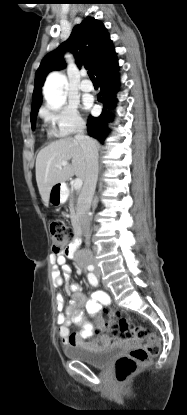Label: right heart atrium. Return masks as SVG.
<instances>
[{
    "label": "right heart atrium",
    "mask_w": 187,
    "mask_h": 415,
    "mask_svg": "<svg viewBox=\"0 0 187 415\" xmlns=\"http://www.w3.org/2000/svg\"><path fill=\"white\" fill-rule=\"evenodd\" d=\"M41 117L49 125L51 131L60 137H66L84 129L85 123L76 107L65 104L59 109L44 107Z\"/></svg>",
    "instance_id": "d8ad5b80"
}]
</instances>
